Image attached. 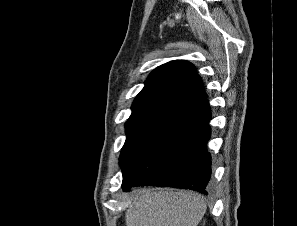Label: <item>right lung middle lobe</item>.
Wrapping results in <instances>:
<instances>
[{"label":"right lung middle lobe","mask_w":297,"mask_h":226,"mask_svg":"<svg viewBox=\"0 0 297 226\" xmlns=\"http://www.w3.org/2000/svg\"><path fill=\"white\" fill-rule=\"evenodd\" d=\"M167 121L168 119L164 118H143L126 122L127 138L120 155V166L124 177L137 164Z\"/></svg>","instance_id":"1"}]
</instances>
